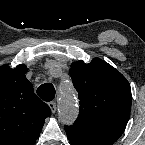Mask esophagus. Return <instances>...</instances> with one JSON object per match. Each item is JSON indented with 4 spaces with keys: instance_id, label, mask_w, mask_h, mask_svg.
Wrapping results in <instances>:
<instances>
[{
    "instance_id": "34e87169",
    "label": "esophagus",
    "mask_w": 145,
    "mask_h": 145,
    "mask_svg": "<svg viewBox=\"0 0 145 145\" xmlns=\"http://www.w3.org/2000/svg\"><path fill=\"white\" fill-rule=\"evenodd\" d=\"M48 105H49V107H50L52 113H55L56 110H57L56 102H55V101H50V102L48 103Z\"/></svg>"
}]
</instances>
